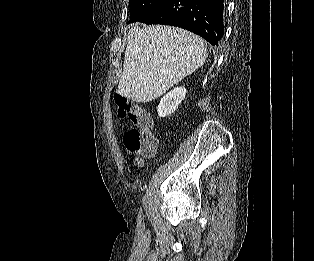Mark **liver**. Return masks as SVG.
<instances>
[{"instance_id": "1", "label": "liver", "mask_w": 314, "mask_h": 261, "mask_svg": "<svg viewBox=\"0 0 314 261\" xmlns=\"http://www.w3.org/2000/svg\"><path fill=\"white\" fill-rule=\"evenodd\" d=\"M206 58V42L189 31L135 23L116 92L135 102H150L199 69Z\"/></svg>"}]
</instances>
